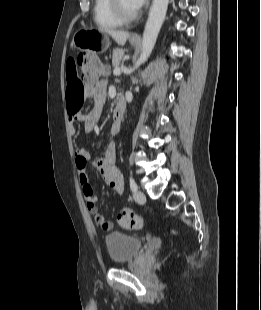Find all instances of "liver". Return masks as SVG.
<instances>
[{"label":"liver","mask_w":261,"mask_h":310,"mask_svg":"<svg viewBox=\"0 0 261 310\" xmlns=\"http://www.w3.org/2000/svg\"><path fill=\"white\" fill-rule=\"evenodd\" d=\"M100 31L109 34L120 46H124L129 37V33L126 31L103 30V29H101Z\"/></svg>","instance_id":"1"}]
</instances>
